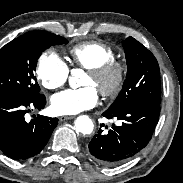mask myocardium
I'll return each mask as SVG.
<instances>
[{"label": "myocardium", "instance_id": "f54148a6", "mask_svg": "<svg viewBox=\"0 0 183 183\" xmlns=\"http://www.w3.org/2000/svg\"><path fill=\"white\" fill-rule=\"evenodd\" d=\"M88 74L98 82V91L103 97H112L119 93L125 83L127 66L122 61L114 59L88 69Z\"/></svg>", "mask_w": 183, "mask_h": 183}]
</instances>
